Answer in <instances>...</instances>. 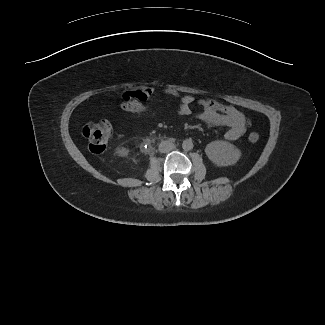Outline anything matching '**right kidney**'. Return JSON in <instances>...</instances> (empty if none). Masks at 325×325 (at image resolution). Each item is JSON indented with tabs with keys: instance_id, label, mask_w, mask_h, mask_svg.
<instances>
[{
	"instance_id": "1",
	"label": "right kidney",
	"mask_w": 325,
	"mask_h": 325,
	"mask_svg": "<svg viewBox=\"0 0 325 325\" xmlns=\"http://www.w3.org/2000/svg\"><path fill=\"white\" fill-rule=\"evenodd\" d=\"M129 150L126 148H117L116 149V154L121 157H125L128 155Z\"/></svg>"
}]
</instances>
